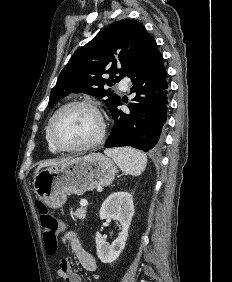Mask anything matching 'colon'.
<instances>
[{"instance_id":"obj_1","label":"colon","mask_w":232,"mask_h":282,"mask_svg":"<svg viewBox=\"0 0 232 282\" xmlns=\"http://www.w3.org/2000/svg\"><path fill=\"white\" fill-rule=\"evenodd\" d=\"M40 212V223L43 229V240L46 252L49 255H54L58 251L59 235L62 230L60 221L48 211L45 205L38 202Z\"/></svg>"}]
</instances>
